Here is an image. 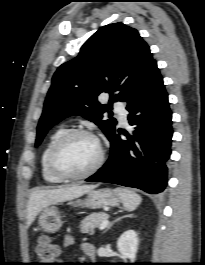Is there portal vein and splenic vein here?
<instances>
[{"instance_id": "18ae733b", "label": "portal vein and splenic vein", "mask_w": 205, "mask_h": 265, "mask_svg": "<svg viewBox=\"0 0 205 265\" xmlns=\"http://www.w3.org/2000/svg\"><path fill=\"white\" fill-rule=\"evenodd\" d=\"M109 224V220L108 219H105L101 225L99 226V229L102 230L104 229L105 227H107V225Z\"/></svg>"}]
</instances>
